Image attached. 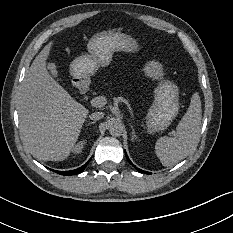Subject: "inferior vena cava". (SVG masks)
I'll use <instances>...</instances> for the list:
<instances>
[{
  "label": "inferior vena cava",
  "instance_id": "1",
  "mask_svg": "<svg viewBox=\"0 0 233 233\" xmlns=\"http://www.w3.org/2000/svg\"><path fill=\"white\" fill-rule=\"evenodd\" d=\"M90 119L91 120H100L104 117V113L103 112H93L90 114Z\"/></svg>",
  "mask_w": 233,
  "mask_h": 233
}]
</instances>
